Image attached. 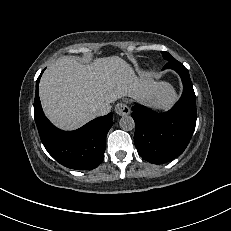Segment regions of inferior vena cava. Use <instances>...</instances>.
Returning <instances> with one entry per match:
<instances>
[{
  "label": "inferior vena cava",
  "mask_w": 231,
  "mask_h": 231,
  "mask_svg": "<svg viewBox=\"0 0 231 231\" xmlns=\"http://www.w3.org/2000/svg\"><path fill=\"white\" fill-rule=\"evenodd\" d=\"M94 111L96 116H104L110 112V107L103 105L101 107L96 108Z\"/></svg>",
  "instance_id": "inferior-vena-cava-1"
}]
</instances>
